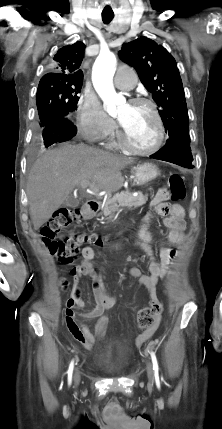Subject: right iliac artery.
<instances>
[{
	"label": "right iliac artery",
	"instance_id": "82829eb1",
	"mask_svg": "<svg viewBox=\"0 0 222 429\" xmlns=\"http://www.w3.org/2000/svg\"><path fill=\"white\" fill-rule=\"evenodd\" d=\"M73 368H74V361L72 360L71 363H70V365H69L68 371H67V374H68V384L69 385L72 382Z\"/></svg>",
	"mask_w": 222,
	"mask_h": 429
}]
</instances>
